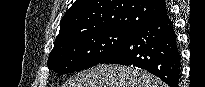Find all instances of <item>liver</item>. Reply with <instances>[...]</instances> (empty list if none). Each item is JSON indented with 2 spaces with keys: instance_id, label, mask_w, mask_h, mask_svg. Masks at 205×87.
Segmentation results:
<instances>
[{
  "instance_id": "obj_1",
  "label": "liver",
  "mask_w": 205,
  "mask_h": 87,
  "mask_svg": "<svg viewBox=\"0 0 205 87\" xmlns=\"http://www.w3.org/2000/svg\"><path fill=\"white\" fill-rule=\"evenodd\" d=\"M64 87H164V84L144 70L101 64L77 73Z\"/></svg>"
}]
</instances>
